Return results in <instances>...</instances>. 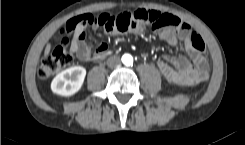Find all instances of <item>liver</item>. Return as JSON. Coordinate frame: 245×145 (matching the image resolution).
<instances>
[{"label": "liver", "instance_id": "obj_1", "mask_svg": "<svg viewBox=\"0 0 245 145\" xmlns=\"http://www.w3.org/2000/svg\"><path fill=\"white\" fill-rule=\"evenodd\" d=\"M50 50H51V44L48 43V44L46 45L45 51H44V57H45V58L48 56Z\"/></svg>", "mask_w": 245, "mask_h": 145}]
</instances>
